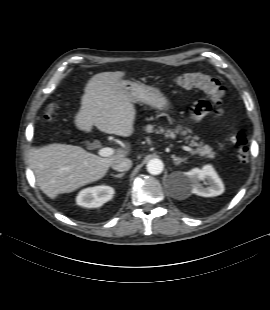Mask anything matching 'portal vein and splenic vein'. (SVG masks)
I'll return each mask as SVG.
<instances>
[{
    "instance_id": "18ae733b",
    "label": "portal vein and splenic vein",
    "mask_w": 270,
    "mask_h": 310,
    "mask_svg": "<svg viewBox=\"0 0 270 310\" xmlns=\"http://www.w3.org/2000/svg\"><path fill=\"white\" fill-rule=\"evenodd\" d=\"M183 150L185 151H188V152H191V153H194L195 151L188 147V146H183L182 147ZM98 154L102 157H109V156H112L114 154V149L112 148H109V147H106V148H101L99 151H98Z\"/></svg>"
}]
</instances>
